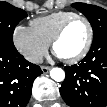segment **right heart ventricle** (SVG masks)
Instances as JSON below:
<instances>
[{
  "label": "right heart ventricle",
  "mask_w": 107,
  "mask_h": 107,
  "mask_svg": "<svg viewBox=\"0 0 107 107\" xmlns=\"http://www.w3.org/2000/svg\"><path fill=\"white\" fill-rule=\"evenodd\" d=\"M77 15L72 11H57L46 16L38 17L30 22L32 30L47 44H50L58 28L68 18Z\"/></svg>",
  "instance_id": "right-heart-ventricle-1"
}]
</instances>
